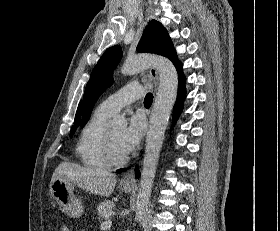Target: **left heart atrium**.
Here are the masks:
<instances>
[{
    "label": "left heart atrium",
    "mask_w": 280,
    "mask_h": 231,
    "mask_svg": "<svg viewBox=\"0 0 280 231\" xmlns=\"http://www.w3.org/2000/svg\"><path fill=\"white\" fill-rule=\"evenodd\" d=\"M143 130L144 126L141 118L138 116L132 117L118 139V145L123 154H129L139 145Z\"/></svg>",
    "instance_id": "left-heart-atrium-1"
}]
</instances>
